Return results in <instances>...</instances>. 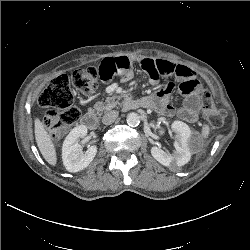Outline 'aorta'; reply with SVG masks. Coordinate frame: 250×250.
<instances>
[{
	"instance_id": "obj_1",
	"label": "aorta",
	"mask_w": 250,
	"mask_h": 250,
	"mask_svg": "<svg viewBox=\"0 0 250 250\" xmlns=\"http://www.w3.org/2000/svg\"><path fill=\"white\" fill-rule=\"evenodd\" d=\"M126 121L129 126H137L140 123V116L135 112H131L127 115Z\"/></svg>"
}]
</instances>
